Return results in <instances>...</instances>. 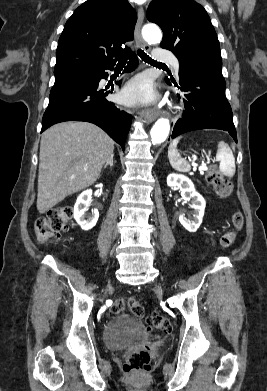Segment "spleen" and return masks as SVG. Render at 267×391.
<instances>
[{"mask_svg": "<svg viewBox=\"0 0 267 391\" xmlns=\"http://www.w3.org/2000/svg\"><path fill=\"white\" fill-rule=\"evenodd\" d=\"M180 140L179 138L174 139L168 147V158L170 165L179 172H188L191 167L190 164L183 158H181L178 150L177 144ZM216 159L220 162L219 170L220 172L229 178H232L235 174V158L233 156L232 150L229 145L224 141L218 143V150L216 154Z\"/></svg>", "mask_w": 267, "mask_h": 391, "instance_id": "1", "label": "spleen"}]
</instances>
